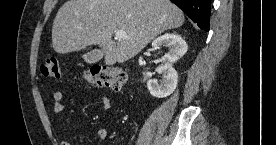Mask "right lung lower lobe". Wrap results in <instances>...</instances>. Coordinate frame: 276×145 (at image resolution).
<instances>
[{"label": "right lung lower lobe", "instance_id": "98d812e1", "mask_svg": "<svg viewBox=\"0 0 276 145\" xmlns=\"http://www.w3.org/2000/svg\"><path fill=\"white\" fill-rule=\"evenodd\" d=\"M201 29L208 31L211 0H171Z\"/></svg>", "mask_w": 276, "mask_h": 145}]
</instances>
